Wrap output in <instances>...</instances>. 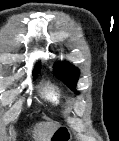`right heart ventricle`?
Returning a JSON list of instances; mask_svg holds the SVG:
<instances>
[{
  "label": "right heart ventricle",
  "mask_w": 119,
  "mask_h": 141,
  "mask_svg": "<svg viewBox=\"0 0 119 141\" xmlns=\"http://www.w3.org/2000/svg\"><path fill=\"white\" fill-rule=\"evenodd\" d=\"M43 96L46 100L50 101L55 105L61 104V96L58 88L54 86L46 87L43 91Z\"/></svg>",
  "instance_id": "1"
}]
</instances>
